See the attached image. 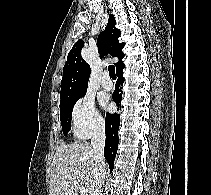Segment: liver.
I'll use <instances>...</instances> for the list:
<instances>
[{
	"mask_svg": "<svg viewBox=\"0 0 211 195\" xmlns=\"http://www.w3.org/2000/svg\"><path fill=\"white\" fill-rule=\"evenodd\" d=\"M95 176L93 148L88 143L61 144L53 157L50 195H90Z\"/></svg>",
	"mask_w": 211,
	"mask_h": 195,
	"instance_id": "1",
	"label": "liver"
}]
</instances>
